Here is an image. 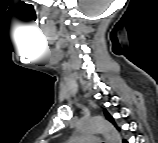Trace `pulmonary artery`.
<instances>
[{"mask_svg":"<svg viewBox=\"0 0 158 143\" xmlns=\"http://www.w3.org/2000/svg\"><path fill=\"white\" fill-rule=\"evenodd\" d=\"M78 139L83 140V141H90V140H94L95 138L91 136H82V137H79Z\"/></svg>","mask_w":158,"mask_h":143,"instance_id":"obj_1","label":"pulmonary artery"}]
</instances>
